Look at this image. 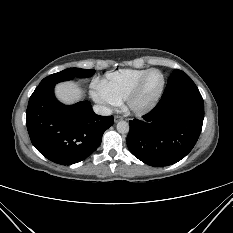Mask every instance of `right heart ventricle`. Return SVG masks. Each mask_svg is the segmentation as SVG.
<instances>
[{
	"mask_svg": "<svg viewBox=\"0 0 233 233\" xmlns=\"http://www.w3.org/2000/svg\"><path fill=\"white\" fill-rule=\"evenodd\" d=\"M147 70L148 69H121L111 71L106 73L98 82H100L119 104L125 100L128 93Z\"/></svg>",
	"mask_w": 233,
	"mask_h": 233,
	"instance_id": "right-heart-ventricle-1",
	"label": "right heart ventricle"
}]
</instances>
